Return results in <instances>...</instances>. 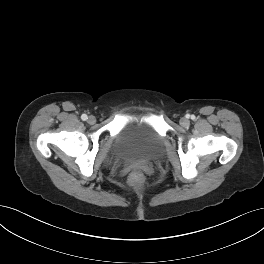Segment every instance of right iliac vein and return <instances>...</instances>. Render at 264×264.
I'll use <instances>...</instances> for the list:
<instances>
[{"label":"right iliac vein","mask_w":264,"mask_h":264,"mask_svg":"<svg viewBox=\"0 0 264 264\" xmlns=\"http://www.w3.org/2000/svg\"><path fill=\"white\" fill-rule=\"evenodd\" d=\"M95 122H96V118L94 116L91 115L88 117V123L89 124H94Z\"/></svg>","instance_id":"right-iliac-vein-1"}]
</instances>
